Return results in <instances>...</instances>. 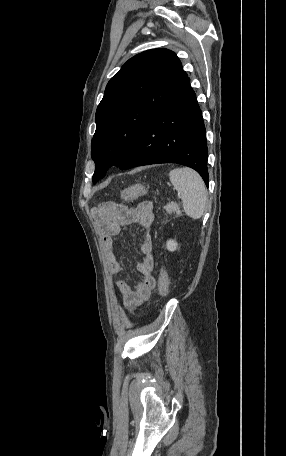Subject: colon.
I'll use <instances>...</instances> for the list:
<instances>
[{
  "label": "colon",
  "instance_id": "colon-1",
  "mask_svg": "<svg viewBox=\"0 0 286 456\" xmlns=\"http://www.w3.org/2000/svg\"><path fill=\"white\" fill-rule=\"evenodd\" d=\"M146 192V187L143 185H134L125 188L121 192V197L124 199H134L142 196ZM112 202H104L101 209H111ZM169 278L165 271H162L159 277V293L161 296H166L169 292Z\"/></svg>",
  "mask_w": 286,
  "mask_h": 456
}]
</instances>
